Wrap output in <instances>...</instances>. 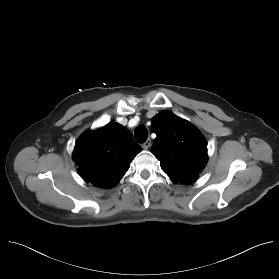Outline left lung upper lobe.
Instances as JSON below:
<instances>
[{"label":"left lung upper lobe","instance_id":"5c2ea615","mask_svg":"<svg viewBox=\"0 0 279 279\" xmlns=\"http://www.w3.org/2000/svg\"><path fill=\"white\" fill-rule=\"evenodd\" d=\"M152 130L157 137L151 152L160 160L162 170L172 181L195 182L208 160L207 144L200 131L168 111L152 118Z\"/></svg>","mask_w":279,"mask_h":279}]
</instances>
